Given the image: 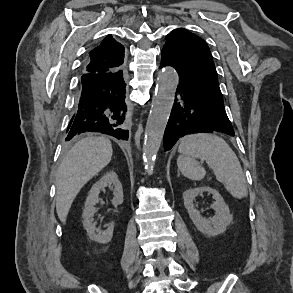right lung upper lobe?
<instances>
[{
    "mask_svg": "<svg viewBox=\"0 0 293 293\" xmlns=\"http://www.w3.org/2000/svg\"><path fill=\"white\" fill-rule=\"evenodd\" d=\"M123 62L124 47L108 35L90 52L83 72L85 74L114 73L122 70Z\"/></svg>",
    "mask_w": 293,
    "mask_h": 293,
    "instance_id": "cb5924a9",
    "label": "right lung upper lobe"
}]
</instances>
